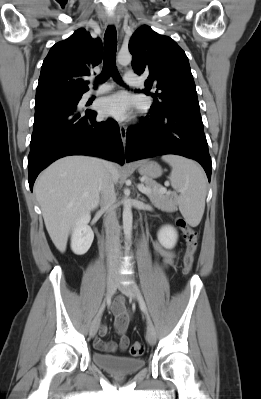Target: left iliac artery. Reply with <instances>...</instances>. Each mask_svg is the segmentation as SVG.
<instances>
[{
  "instance_id": "left-iliac-artery-1",
  "label": "left iliac artery",
  "mask_w": 261,
  "mask_h": 399,
  "mask_svg": "<svg viewBox=\"0 0 261 399\" xmlns=\"http://www.w3.org/2000/svg\"><path fill=\"white\" fill-rule=\"evenodd\" d=\"M135 286H136V285H135ZM136 288H137V287H136ZM137 295H138V300H139L140 308H141L144 312H146V314H147V307H146L145 301H144V299H143V297H142L140 291L138 290V288H137Z\"/></svg>"
}]
</instances>
